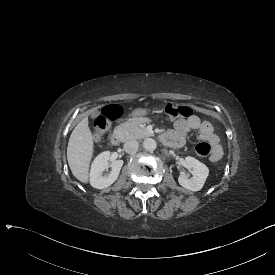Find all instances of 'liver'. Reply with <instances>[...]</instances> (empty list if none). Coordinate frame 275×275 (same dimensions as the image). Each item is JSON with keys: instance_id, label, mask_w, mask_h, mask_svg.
<instances>
[{"instance_id": "1", "label": "liver", "mask_w": 275, "mask_h": 275, "mask_svg": "<svg viewBox=\"0 0 275 275\" xmlns=\"http://www.w3.org/2000/svg\"><path fill=\"white\" fill-rule=\"evenodd\" d=\"M94 156V138L87 117L81 119L72 130L67 146V161L72 175L88 184L89 171Z\"/></svg>"}]
</instances>
